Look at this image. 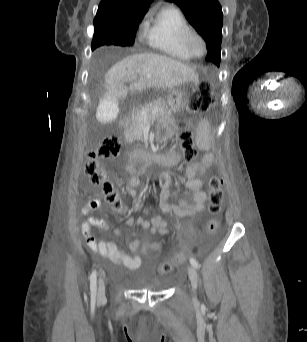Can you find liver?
I'll use <instances>...</instances> for the list:
<instances>
[{
    "label": "liver",
    "instance_id": "6515ba94",
    "mask_svg": "<svg viewBox=\"0 0 307 342\" xmlns=\"http://www.w3.org/2000/svg\"><path fill=\"white\" fill-rule=\"evenodd\" d=\"M197 74L188 64L160 56V54H134L114 64L105 76L107 95H122L128 92H144L150 88H176L185 82L197 84ZM130 82V86H125Z\"/></svg>",
    "mask_w": 307,
    "mask_h": 342
}]
</instances>
